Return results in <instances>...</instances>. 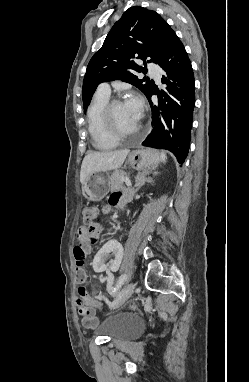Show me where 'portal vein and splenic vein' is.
<instances>
[{"label": "portal vein and splenic vein", "mask_w": 249, "mask_h": 382, "mask_svg": "<svg viewBox=\"0 0 249 382\" xmlns=\"http://www.w3.org/2000/svg\"><path fill=\"white\" fill-rule=\"evenodd\" d=\"M120 179H121V181L125 182V184H126L128 187H131V186H132V184H131V182H130V180H129L128 178L121 177Z\"/></svg>", "instance_id": "1"}]
</instances>
